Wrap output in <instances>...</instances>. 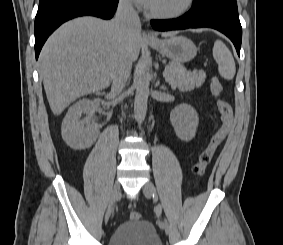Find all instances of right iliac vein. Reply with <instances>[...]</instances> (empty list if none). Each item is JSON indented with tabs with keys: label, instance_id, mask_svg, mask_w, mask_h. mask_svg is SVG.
Instances as JSON below:
<instances>
[{
	"label": "right iliac vein",
	"instance_id": "right-iliac-vein-1",
	"mask_svg": "<svg viewBox=\"0 0 283 245\" xmlns=\"http://www.w3.org/2000/svg\"><path fill=\"white\" fill-rule=\"evenodd\" d=\"M120 195V184L119 182H115L113 187H112V191H111V195H110V202L108 205V208L106 210V214H105V221L107 222L109 220V218L111 217L112 213H113V209H114V204L116 202V200L118 199Z\"/></svg>",
	"mask_w": 283,
	"mask_h": 245
}]
</instances>
